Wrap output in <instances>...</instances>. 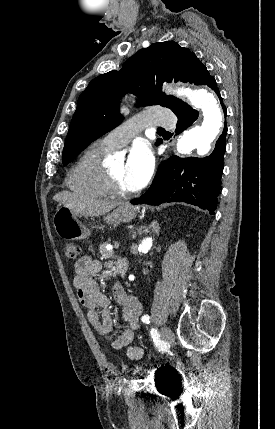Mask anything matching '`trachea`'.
Segmentation results:
<instances>
[{"label":"trachea","instance_id":"3493384b","mask_svg":"<svg viewBox=\"0 0 275 429\" xmlns=\"http://www.w3.org/2000/svg\"><path fill=\"white\" fill-rule=\"evenodd\" d=\"M157 131H165L163 128H158Z\"/></svg>","mask_w":275,"mask_h":429}]
</instances>
